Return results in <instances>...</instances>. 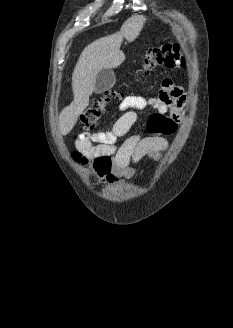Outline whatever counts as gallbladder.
Segmentation results:
<instances>
[{"label":"gallbladder","mask_w":233,"mask_h":328,"mask_svg":"<svg viewBox=\"0 0 233 328\" xmlns=\"http://www.w3.org/2000/svg\"><path fill=\"white\" fill-rule=\"evenodd\" d=\"M116 77L112 69H102L95 78V93L101 94L115 84Z\"/></svg>","instance_id":"gallbladder-1"}]
</instances>
